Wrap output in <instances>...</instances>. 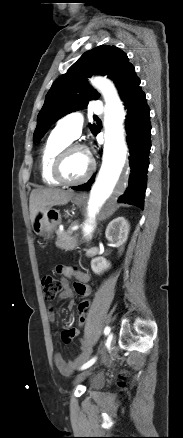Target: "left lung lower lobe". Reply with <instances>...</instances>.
I'll list each match as a JSON object with an SVG mask.
<instances>
[{
    "label": "left lung lower lobe",
    "instance_id": "0a47b994",
    "mask_svg": "<svg viewBox=\"0 0 183 438\" xmlns=\"http://www.w3.org/2000/svg\"><path fill=\"white\" fill-rule=\"evenodd\" d=\"M140 80L135 77L121 94L127 116L125 128L129 147L130 168L128 188L119 198L118 202L128 203L143 209V201L147 183V170L149 165V152L151 148L150 110L147 106L145 94L142 91ZM99 133L97 131L95 135ZM94 181L92 177L87 183L72 187L78 191H88Z\"/></svg>",
    "mask_w": 183,
    "mask_h": 438
}]
</instances>
